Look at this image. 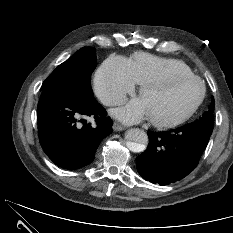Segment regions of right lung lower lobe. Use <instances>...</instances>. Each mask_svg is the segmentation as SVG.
Returning <instances> with one entry per match:
<instances>
[{
  "label": "right lung lower lobe",
  "instance_id": "98d812e1",
  "mask_svg": "<svg viewBox=\"0 0 233 233\" xmlns=\"http://www.w3.org/2000/svg\"><path fill=\"white\" fill-rule=\"evenodd\" d=\"M106 115L94 98L43 91L37 109L40 144L59 167H84L93 161L102 139L112 132ZM86 116L94 117L96 125L85 122L82 126L78 119Z\"/></svg>",
  "mask_w": 233,
  "mask_h": 233
}]
</instances>
